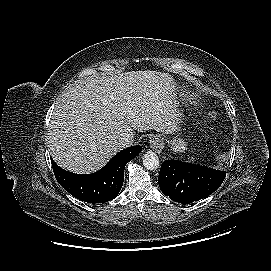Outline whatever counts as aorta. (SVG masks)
<instances>
[{"instance_id":"aorta-1","label":"aorta","mask_w":271,"mask_h":271,"mask_svg":"<svg viewBox=\"0 0 271 271\" xmlns=\"http://www.w3.org/2000/svg\"><path fill=\"white\" fill-rule=\"evenodd\" d=\"M143 165L148 170H156L159 167V158L156 153L148 151L143 155Z\"/></svg>"}]
</instances>
